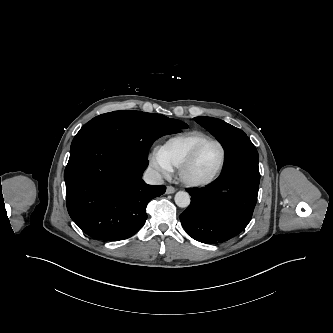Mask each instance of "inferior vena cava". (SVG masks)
Wrapping results in <instances>:
<instances>
[{"label":"inferior vena cava","mask_w":333,"mask_h":333,"mask_svg":"<svg viewBox=\"0 0 333 333\" xmlns=\"http://www.w3.org/2000/svg\"><path fill=\"white\" fill-rule=\"evenodd\" d=\"M143 179L147 184H150V185L163 184V179H162L161 175L152 168H148L145 171V173L143 175Z\"/></svg>","instance_id":"inferior-vena-cava-1"}]
</instances>
